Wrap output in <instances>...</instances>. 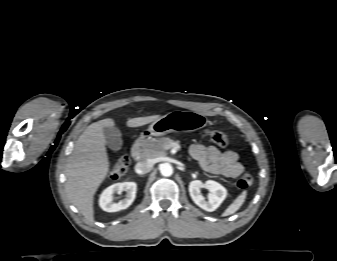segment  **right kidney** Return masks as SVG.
I'll list each match as a JSON object with an SVG mask.
<instances>
[{
  "label": "right kidney",
  "instance_id": "obj_1",
  "mask_svg": "<svg viewBox=\"0 0 337 261\" xmlns=\"http://www.w3.org/2000/svg\"><path fill=\"white\" fill-rule=\"evenodd\" d=\"M137 185L135 182L116 183L106 188L99 199L100 207L106 212H117L128 208L136 196ZM126 191V197L118 203L113 201L115 193Z\"/></svg>",
  "mask_w": 337,
  "mask_h": 261
}]
</instances>
